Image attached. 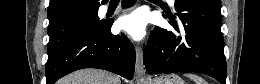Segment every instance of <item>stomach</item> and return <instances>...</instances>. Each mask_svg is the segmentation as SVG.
<instances>
[{"mask_svg": "<svg viewBox=\"0 0 260 84\" xmlns=\"http://www.w3.org/2000/svg\"><path fill=\"white\" fill-rule=\"evenodd\" d=\"M149 84H185V82L177 74H163L152 79Z\"/></svg>", "mask_w": 260, "mask_h": 84, "instance_id": "0dacf381", "label": "stomach"}]
</instances>
